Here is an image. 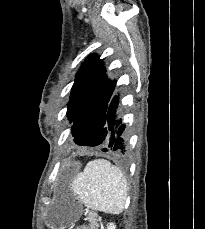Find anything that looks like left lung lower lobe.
<instances>
[{"label":"left lung lower lobe","instance_id":"left-lung-lower-lobe-1","mask_svg":"<svg viewBox=\"0 0 205 229\" xmlns=\"http://www.w3.org/2000/svg\"><path fill=\"white\" fill-rule=\"evenodd\" d=\"M118 101V96L110 99L106 111L105 126L100 132L98 131L93 135L92 140H95L96 143L102 142L101 150L103 152L116 158H125L127 156L125 125L122 124L121 119H115Z\"/></svg>","mask_w":205,"mask_h":229}]
</instances>
